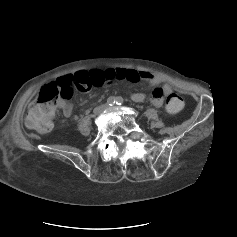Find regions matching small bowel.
<instances>
[{"instance_id":"obj_1","label":"small bowel","mask_w":237,"mask_h":237,"mask_svg":"<svg viewBox=\"0 0 237 237\" xmlns=\"http://www.w3.org/2000/svg\"><path fill=\"white\" fill-rule=\"evenodd\" d=\"M104 76V84H110L114 81H128L136 83L140 80L149 82L152 86L157 87L150 97V102L155 107H161L164 102V97L172 93V86L164 81L162 77L150 72L137 71L133 69L109 68L105 71H100ZM100 85V86H102ZM133 101L140 103L144 101L143 93H135L132 96ZM59 108L65 116H69L72 112V106L67 102H61Z\"/></svg>"}]
</instances>
